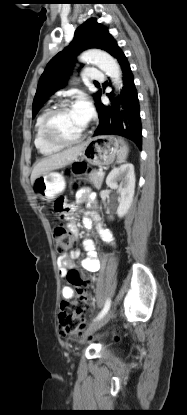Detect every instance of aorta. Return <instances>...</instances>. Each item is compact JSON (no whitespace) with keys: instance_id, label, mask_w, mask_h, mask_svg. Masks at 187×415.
Here are the masks:
<instances>
[{"instance_id":"1","label":"aorta","mask_w":187,"mask_h":415,"mask_svg":"<svg viewBox=\"0 0 187 415\" xmlns=\"http://www.w3.org/2000/svg\"><path fill=\"white\" fill-rule=\"evenodd\" d=\"M79 60L97 66L112 79L116 90H120L122 87V72L119 64L110 54L99 49H91L82 53Z\"/></svg>"}]
</instances>
